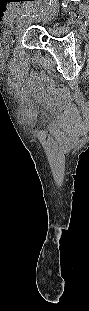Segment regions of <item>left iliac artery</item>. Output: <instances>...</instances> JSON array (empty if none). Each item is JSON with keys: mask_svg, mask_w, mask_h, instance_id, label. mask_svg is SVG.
Returning a JSON list of instances; mask_svg holds the SVG:
<instances>
[{"mask_svg": "<svg viewBox=\"0 0 89 311\" xmlns=\"http://www.w3.org/2000/svg\"><path fill=\"white\" fill-rule=\"evenodd\" d=\"M26 20V15H22L21 18H19L20 23H24Z\"/></svg>", "mask_w": 89, "mask_h": 311, "instance_id": "obj_1", "label": "left iliac artery"}]
</instances>
